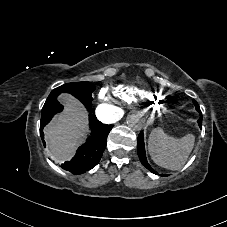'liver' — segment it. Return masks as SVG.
<instances>
[{
    "label": "liver",
    "instance_id": "liver-1",
    "mask_svg": "<svg viewBox=\"0 0 227 227\" xmlns=\"http://www.w3.org/2000/svg\"><path fill=\"white\" fill-rule=\"evenodd\" d=\"M59 99L66 103L65 110L44 129L49 153L56 162L70 160L88 130L87 114L81 103L66 93Z\"/></svg>",
    "mask_w": 227,
    "mask_h": 227
}]
</instances>
